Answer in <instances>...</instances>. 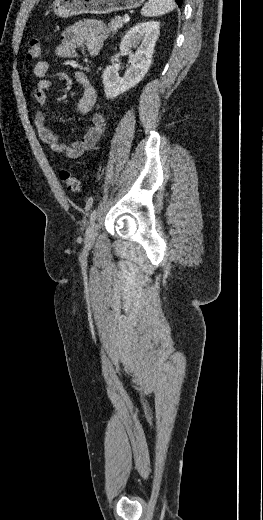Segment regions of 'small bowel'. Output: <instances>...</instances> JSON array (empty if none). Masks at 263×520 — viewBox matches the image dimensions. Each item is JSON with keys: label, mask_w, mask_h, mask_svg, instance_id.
Masks as SVG:
<instances>
[{"label": "small bowel", "mask_w": 263, "mask_h": 520, "mask_svg": "<svg viewBox=\"0 0 263 520\" xmlns=\"http://www.w3.org/2000/svg\"><path fill=\"white\" fill-rule=\"evenodd\" d=\"M107 37L105 24L98 20H83L68 27L61 37V42L56 48V55L59 58L73 59L76 50L80 46H86L91 55H97ZM50 65L47 61H39L34 65L33 73L38 79L35 89L32 92L33 101L44 106L47 102V90L51 86L47 78ZM75 79L82 86L83 93L80 97L77 110L80 114L89 113L97 98V89L89 81L82 71H75ZM46 113L43 110L36 111L34 124L40 140L53 152L63 154L67 158H78L85 152L94 148L100 140L105 130V119L95 113L91 116V123L84 135L70 144L60 141L55 131L46 123Z\"/></svg>", "instance_id": "c3829d8e"}]
</instances>
